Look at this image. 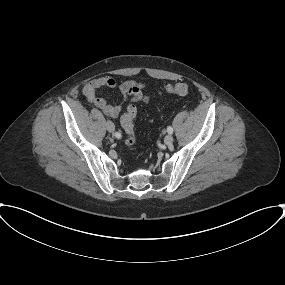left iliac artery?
<instances>
[{"label":"left iliac artery","mask_w":285,"mask_h":285,"mask_svg":"<svg viewBox=\"0 0 285 285\" xmlns=\"http://www.w3.org/2000/svg\"><path fill=\"white\" fill-rule=\"evenodd\" d=\"M167 131H168L169 134H172V133H173L172 127H171V126H168V127H167Z\"/></svg>","instance_id":"obj_1"}]
</instances>
